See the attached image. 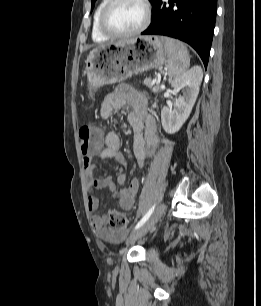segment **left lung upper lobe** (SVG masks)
Listing matches in <instances>:
<instances>
[{"label": "left lung upper lobe", "mask_w": 261, "mask_h": 306, "mask_svg": "<svg viewBox=\"0 0 261 306\" xmlns=\"http://www.w3.org/2000/svg\"><path fill=\"white\" fill-rule=\"evenodd\" d=\"M95 1H96V0H91V6H92V8L94 7ZM149 1L152 3L153 0H149Z\"/></svg>", "instance_id": "left-lung-upper-lobe-1"}]
</instances>
